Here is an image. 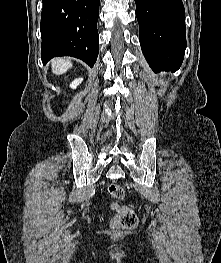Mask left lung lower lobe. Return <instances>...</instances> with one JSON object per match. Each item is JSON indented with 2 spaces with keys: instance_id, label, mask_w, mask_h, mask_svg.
Masks as SVG:
<instances>
[{
  "instance_id": "1",
  "label": "left lung lower lobe",
  "mask_w": 221,
  "mask_h": 263,
  "mask_svg": "<svg viewBox=\"0 0 221 263\" xmlns=\"http://www.w3.org/2000/svg\"><path fill=\"white\" fill-rule=\"evenodd\" d=\"M140 45L154 71L179 69L186 49L182 0H135Z\"/></svg>"
}]
</instances>
